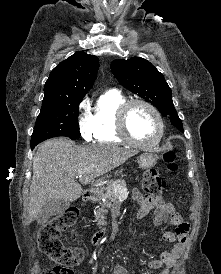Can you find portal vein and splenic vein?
<instances>
[{
    "mask_svg": "<svg viewBox=\"0 0 221 274\" xmlns=\"http://www.w3.org/2000/svg\"><path fill=\"white\" fill-rule=\"evenodd\" d=\"M84 173V170H80L77 172L78 175H82Z\"/></svg>",
    "mask_w": 221,
    "mask_h": 274,
    "instance_id": "1",
    "label": "portal vein and splenic vein"
}]
</instances>
